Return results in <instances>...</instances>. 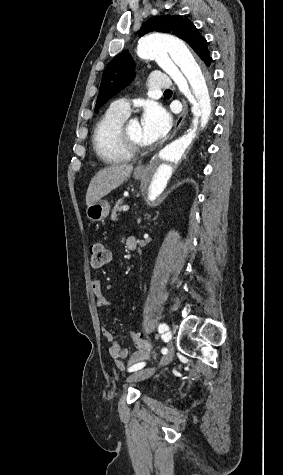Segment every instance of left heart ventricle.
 I'll list each match as a JSON object with an SVG mask.
<instances>
[{"label": "left heart ventricle", "instance_id": "b2bd125f", "mask_svg": "<svg viewBox=\"0 0 283 475\" xmlns=\"http://www.w3.org/2000/svg\"><path fill=\"white\" fill-rule=\"evenodd\" d=\"M127 128H128V135L134 143L140 144V145H147L150 143L144 139L141 122H139L138 120L134 119L132 122L128 124Z\"/></svg>", "mask_w": 283, "mask_h": 475}]
</instances>
